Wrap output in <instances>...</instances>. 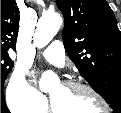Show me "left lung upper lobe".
I'll use <instances>...</instances> for the list:
<instances>
[{"instance_id":"obj_1","label":"left lung upper lobe","mask_w":121,"mask_h":113,"mask_svg":"<svg viewBox=\"0 0 121 113\" xmlns=\"http://www.w3.org/2000/svg\"><path fill=\"white\" fill-rule=\"evenodd\" d=\"M63 43L82 77L121 113V33L106 0H57Z\"/></svg>"}]
</instances>
